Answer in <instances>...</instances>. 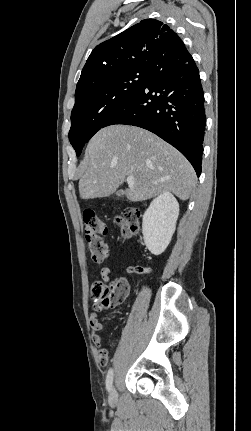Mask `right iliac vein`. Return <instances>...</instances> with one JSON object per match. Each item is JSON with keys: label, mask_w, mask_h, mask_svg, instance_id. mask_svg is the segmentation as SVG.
<instances>
[{"label": "right iliac vein", "mask_w": 251, "mask_h": 431, "mask_svg": "<svg viewBox=\"0 0 251 431\" xmlns=\"http://www.w3.org/2000/svg\"><path fill=\"white\" fill-rule=\"evenodd\" d=\"M109 400L111 402H115L117 400V393H116L115 388L111 389L110 394H109Z\"/></svg>", "instance_id": "63e3f726"}]
</instances>
